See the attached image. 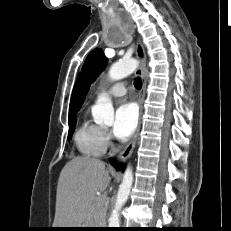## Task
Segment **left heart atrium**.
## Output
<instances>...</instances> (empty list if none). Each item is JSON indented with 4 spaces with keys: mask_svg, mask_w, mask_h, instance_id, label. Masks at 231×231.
I'll use <instances>...</instances> for the list:
<instances>
[{
    "mask_svg": "<svg viewBox=\"0 0 231 231\" xmlns=\"http://www.w3.org/2000/svg\"><path fill=\"white\" fill-rule=\"evenodd\" d=\"M138 123L137 107L130 102L121 104L115 113L113 134L118 139H126L132 135Z\"/></svg>",
    "mask_w": 231,
    "mask_h": 231,
    "instance_id": "left-heart-atrium-1",
    "label": "left heart atrium"
}]
</instances>
